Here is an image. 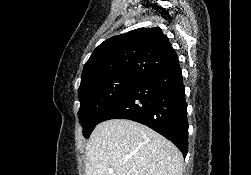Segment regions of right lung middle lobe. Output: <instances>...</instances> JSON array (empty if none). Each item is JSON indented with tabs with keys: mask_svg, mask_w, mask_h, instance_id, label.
<instances>
[{
	"mask_svg": "<svg viewBox=\"0 0 251 175\" xmlns=\"http://www.w3.org/2000/svg\"><path fill=\"white\" fill-rule=\"evenodd\" d=\"M140 80L131 76H119L78 89L80 100L78 115L85 138H89L95 126L100 123V117L104 112Z\"/></svg>",
	"mask_w": 251,
	"mask_h": 175,
	"instance_id": "1",
	"label": "right lung middle lobe"
}]
</instances>
